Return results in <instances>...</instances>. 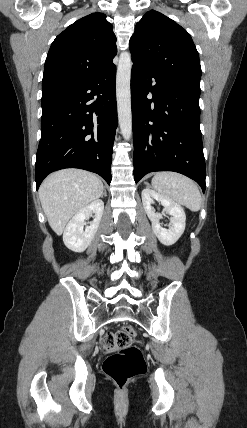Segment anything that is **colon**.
Masks as SVG:
<instances>
[{
	"label": "colon",
	"mask_w": 247,
	"mask_h": 428,
	"mask_svg": "<svg viewBox=\"0 0 247 428\" xmlns=\"http://www.w3.org/2000/svg\"><path fill=\"white\" fill-rule=\"evenodd\" d=\"M135 336L132 326H124L103 338L104 348L113 351L104 361L103 370L120 388L145 371L142 352L132 345Z\"/></svg>",
	"instance_id": "1"
}]
</instances>
